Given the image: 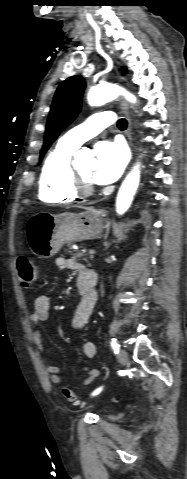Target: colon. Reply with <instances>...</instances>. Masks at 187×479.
<instances>
[{
    "label": "colon",
    "instance_id": "1",
    "mask_svg": "<svg viewBox=\"0 0 187 479\" xmlns=\"http://www.w3.org/2000/svg\"><path fill=\"white\" fill-rule=\"evenodd\" d=\"M19 282L23 288H29L37 279L38 273L29 257L22 255L16 260ZM61 393L65 399L74 404H79L77 395L68 387H63Z\"/></svg>",
    "mask_w": 187,
    "mask_h": 479
}]
</instances>
